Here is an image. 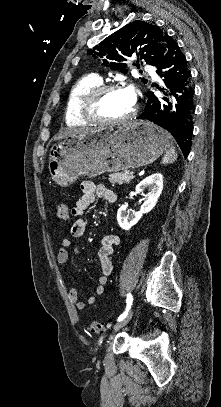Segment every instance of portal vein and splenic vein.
<instances>
[{
  "instance_id": "18ae733b",
  "label": "portal vein and splenic vein",
  "mask_w": 221,
  "mask_h": 407,
  "mask_svg": "<svg viewBox=\"0 0 221 407\" xmlns=\"http://www.w3.org/2000/svg\"><path fill=\"white\" fill-rule=\"evenodd\" d=\"M130 174L133 176V175H134V172H130Z\"/></svg>"
}]
</instances>
